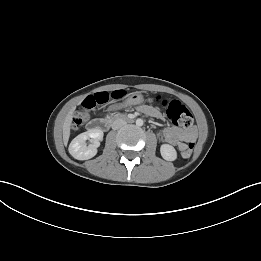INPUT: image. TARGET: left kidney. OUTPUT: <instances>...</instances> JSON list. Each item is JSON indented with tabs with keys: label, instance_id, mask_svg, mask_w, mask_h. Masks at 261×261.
Masks as SVG:
<instances>
[{
	"label": "left kidney",
	"instance_id": "left-kidney-1",
	"mask_svg": "<svg viewBox=\"0 0 261 261\" xmlns=\"http://www.w3.org/2000/svg\"><path fill=\"white\" fill-rule=\"evenodd\" d=\"M162 157L167 161H174L177 158L175 148L169 144H163L160 147Z\"/></svg>",
	"mask_w": 261,
	"mask_h": 261
}]
</instances>
